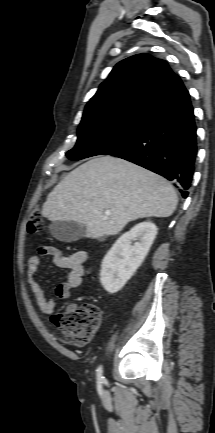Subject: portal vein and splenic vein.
Listing matches in <instances>:
<instances>
[{"label": "portal vein and splenic vein", "mask_w": 215, "mask_h": 433, "mask_svg": "<svg viewBox=\"0 0 215 433\" xmlns=\"http://www.w3.org/2000/svg\"><path fill=\"white\" fill-rule=\"evenodd\" d=\"M110 214H111V212H110L109 210H106V211H105V216H106V217L110 216Z\"/></svg>", "instance_id": "18ae733b"}]
</instances>
